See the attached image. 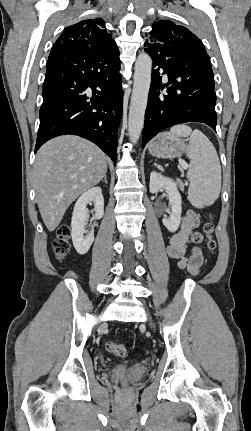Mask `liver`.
Wrapping results in <instances>:
<instances>
[{
    "label": "liver",
    "mask_w": 251,
    "mask_h": 431,
    "mask_svg": "<svg viewBox=\"0 0 251 431\" xmlns=\"http://www.w3.org/2000/svg\"><path fill=\"white\" fill-rule=\"evenodd\" d=\"M107 156L92 142L64 135L45 143L34 164V187L42 220L54 231L67 208L106 175Z\"/></svg>",
    "instance_id": "1"
}]
</instances>
